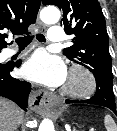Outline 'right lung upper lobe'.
Wrapping results in <instances>:
<instances>
[{"label":"right lung upper lobe","mask_w":117,"mask_h":131,"mask_svg":"<svg viewBox=\"0 0 117 131\" xmlns=\"http://www.w3.org/2000/svg\"><path fill=\"white\" fill-rule=\"evenodd\" d=\"M40 3V0H0V51L9 45L3 30H11L14 35L29 34L28 26L35 23Z\"/></svg>","instance_id":"1"}]
</instances>
